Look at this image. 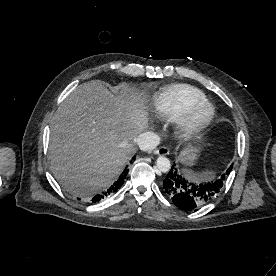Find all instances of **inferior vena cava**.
Here are the masks:
<instances>
[{"mask_svg": "<svg viewBox=\"0 0 276 276\" xmlns=\"http://www.w3.org/2000/svg\"><path fill=\"white\" fill-rule=\"evenodd\" d=\"M136 144L143 151L155 149L160 143V137L154 132H144L139 134L135 140Z\"/></svg>", "mask_w": 276, "mask_h": 276, "instance_id": "inferior-vena-cava-1", "label": "inferior vena cava"}]
</instances>
